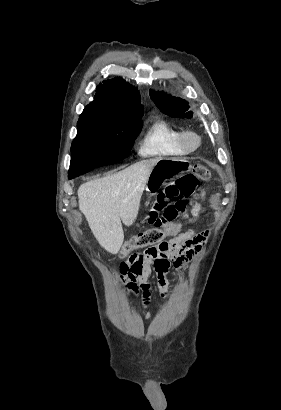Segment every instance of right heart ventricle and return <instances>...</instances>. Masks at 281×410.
Returning <instances> with one entry per match:
<instances>
[{
  "mask_svg": "<svg viewBox=\"0 0 281 410\" xmlns=\"http://www.w3.org/2000/svg\"><path fill=\"white\" fill-rule=\"evenodd\" d=\"M182 130L174 127L161 118L150 122L144 132L139 154L143 157H174L186 155L188 152L181 145Z\"/></svg>",
  "mask_w": 281,
  "mask_h": 410,
  "instance_id": "obj_1",
  "label": "right heart ventricle"
}]
</instances>
